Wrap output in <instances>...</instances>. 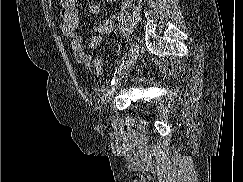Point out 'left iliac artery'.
<instances>
[{
  "label": "left iliac artery",
  "mask_w": 243,
  "mask_h": 182,
  "mask_svg": "<svg viewBox=\"0 0 243 182\" xmlns=\"http://www.w3.org/2000/svg\"><path fill=\"white\" fill-rule=\"evenodd\" d=\"M124 63H125V60L122 61V63L120 64V66L118 67V69H116L114 75H113V78L110 82V85H113L116 81V78L117 76L119 75V73L121 72L122 68L124 67Z\"/></svg>",
  "instance_id": "obj_1"
}]
</instances>
